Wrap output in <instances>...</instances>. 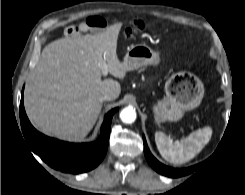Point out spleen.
<instances>
[{
	"label": "spleen",
	"mask_w": 245,
	"mask_h": 195,
	"mask_svg": "<svg viewBox=\"0 0 245 195\" xmlns=\"http://www.w3.org/2000/svg\"><path fill=\"white\" fill-rule=\"evenodd\" d=\"M212 129L205 127L192 132L180 141H173L163 132L155 133L156 146L161 156L172 164H183L193 159L209 142Z\"/></svg>",
	"instance_id": "obj_1"
}]
</instances>
